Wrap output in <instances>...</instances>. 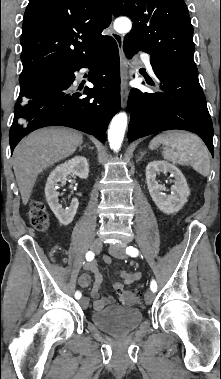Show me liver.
<instances>
[{
	"label": "liver",
	"instance_id": "liver-1",
	"mask_svg": "<svg viewBox=\"0 0 221 379\" xmlns=\"http://www.w3.org/2000/svg\"><path fill=\"white\" fill-rule=\"evenodd\" d=\"M83 136L68 128H43L25 137L13 153V169L26 205L38 175L47 167L72 155Z\"/></svg>",
	"mask_w": 221,
	"mask_h": 379
}]
</instances>
